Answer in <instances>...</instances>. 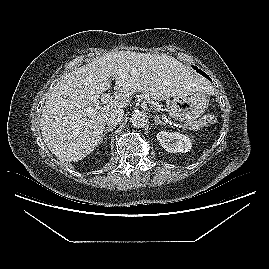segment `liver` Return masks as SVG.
<instances>
[{
	"label": "liver",
	"mask_w": 269,
	"mask_h": 269,
	"mask_svg": "<svg viewBox=\"0 0 269 269\" xmlns=\"http://www.w3.org/2000/svg\"><path fill=\"white\" fill-rule=\"evenodd\" d=\"M111 80L118 92L101 105L100 96L110 88ZM193 90L207 94L208 87L203 78L172 56L109 53L58 82L42 110L41 134L57 159L80 161L100 144L107 113L126 108L134 93L161 101Z\"/></svg>",
	"instance_id": "liver-1"
}]
</instances>
